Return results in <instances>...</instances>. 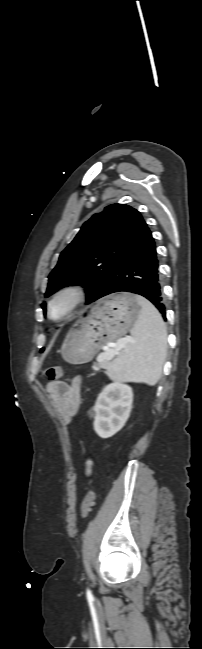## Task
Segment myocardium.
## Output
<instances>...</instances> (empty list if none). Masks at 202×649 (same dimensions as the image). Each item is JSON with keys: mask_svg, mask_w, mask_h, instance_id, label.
<instances>
[{"mask_svg": "<svg viewBox=\"0 0 202 649\" xmlns=\"http://www.w3.org/2000/svg\"><path fill=\"white\" fill-rule=\"evenodd\" d=\"M86 298L85 288L80 284H69L58 289L48 301V315L54 321H62L70 317ZM64 301L65 310L58 316L54 315L53 307L56 303Z\"/></svg>", "mask_w": 202, "mask_h": 649, "instance_id": "f54148a6", "label": "myocardium"}]
</instances>
